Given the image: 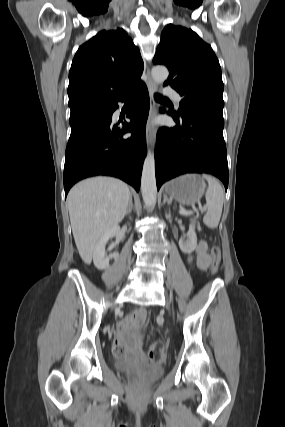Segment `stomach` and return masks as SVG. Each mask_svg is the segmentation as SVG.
<instances>
[{"mask_svg":"<svg viewBox=\"0 0 285 427\" xmlns=\"http://www.w3.org/2000/svg\"><path fill=\"white\" fill-rule=\"evenodd\" d=\"M204 180L196 174H186L165 185V192L183 205L199 202L205 191Z\"/></svg>","mask_w":285,"mask_h":427,"instance_id":"1","label":"stomach"}]
</instances>
